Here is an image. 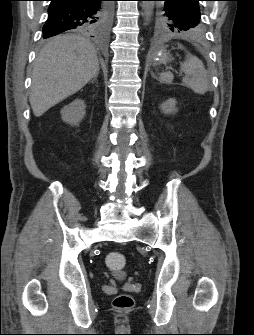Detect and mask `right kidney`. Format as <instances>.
<instances>
[{
  "label": "right kidney",
  "mask_w": 254,
  "mask_h": 335,
  "mask_svg": "<svg viewBox=\"0 0 254 335\" xmlns=\"http://www.w3.org/2000/svg\"><path fill=\"white\" fill-rule=\"evenodd\" d=\"M86 104L82 99H75L61 109L62 120L70 125H78L85 115Z\"/></svg>",
  "instance_id": "right-kidney-1"
}]
</instances>
